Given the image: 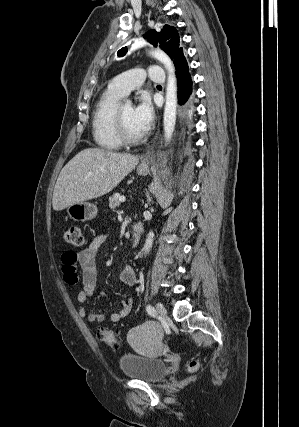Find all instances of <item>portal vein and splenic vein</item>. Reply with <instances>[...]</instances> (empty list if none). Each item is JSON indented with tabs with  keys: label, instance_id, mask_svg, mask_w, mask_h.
I'll use <instances>...</instances> for the list:
<instances>
[{
	"label": "portal vein and splenic vein",
	"instance_id": "1",
	"mask_svg": "<svg viewBox=\"0 0 299 427\" xmlns=\"http://www.w3.org/2000/svg\"><path fill=\"white\" fill-rule=\"evenodd\" d=\"M119 200H120L121 202H125L126 198H125L124 196H121V197L119 198Z\"/></svg>",
	"mask_w": 299,
	"mask_h": 427
}]
</instances>
